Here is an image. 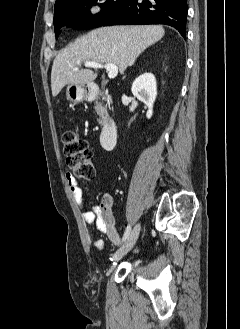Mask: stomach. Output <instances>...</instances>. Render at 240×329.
Segmentation results:
<instances>
[{
    "instance_id": "1",
    "label": "stomach",
    "mask_w": 240,
    "mask_h": 329,
    "mask_svg": "<svg viewBox=\"0 0 240 329\" xmlns=\"http://www.w3.org/2000/svg\"><path fill=\"white\" fill-rule=\"evenodd\" d=\"M66 96L73 103L82 102L87 98V88L85 85L69 84L66 89Z\"/></svg>"
}]
</instances>
